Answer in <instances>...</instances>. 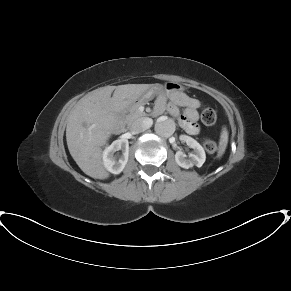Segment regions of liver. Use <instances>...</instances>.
<instances>
[{
	"label": "liver",
	"mask_w": 291,
	"mask_h": 291,
	"mask_svg": "<svg viewBox=\"0 0 291 291\" xmlns=\"http://www.w3.org/2000/svg\"><path fill=\"white\" fill-rule=\"evenodd\" d=\"M150 86L126 84L101 87L82 97L70 111L66 141L72 158L86 175L95 179L109 177L102 160V147L117 126L116 113L141 98Z\"/></svg>",
	"instance_id": "6515ba94"
}]
</instances>
